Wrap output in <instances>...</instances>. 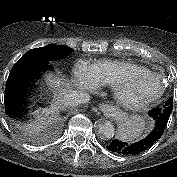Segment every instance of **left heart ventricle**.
<instances>
[{
    "label": "left heart ventricle",
    "mask_w": 177,
    "mask_h": 177,
    "mask_svg": "<svg viewBox=\"0 0 177 177\" xmlns=\"http://www.w3.org/2000/svg\"><path fill=\"white\" fill-rule=\"evenodd\" d=\"M160 87V82L154 78H129L125 83L124 93L130 99H141L155 95Z\"/></svg>",
    "instance_id": "left-heart-ventricle-1"
}]
</instances>
